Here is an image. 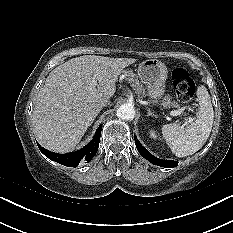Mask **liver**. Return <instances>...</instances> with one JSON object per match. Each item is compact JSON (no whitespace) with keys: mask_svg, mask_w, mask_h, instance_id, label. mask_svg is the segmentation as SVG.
<instances>
[{"mask_svg":"<svg viewBox=\"0 0 233 233\" xmlns=\"http://www.w3.org/2000/svg\"><path fill=\"white\" fill-rule=\"evenodd\" d=\"M135 62L133 58L85 55L52 70L32 115L39 144L57 153L74 149L99 109L98 101L114 95L118 76ZM94 78L98 86L92 84Z\"/></svg>","mask_w":233,"mask_h":233,"instance_id":"6515ba94","label":"liver"}]
</instances>
